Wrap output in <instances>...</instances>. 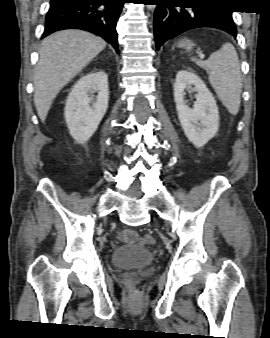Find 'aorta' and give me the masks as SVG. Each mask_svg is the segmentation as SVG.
I'll list each match as a JSON object with an SVG mask.
<instances>
[{
    "label": "aorta",
    "instance_id": "aorta-1",
    "mask_svg": "<svg viewBox=\"0 0 270 338\" xmlns=\"http://www.w3.org/2000/svg\"><path fill=\"white\" fill-rule=\"evenodd\" d=\"M154 7H155L154 5L149 6L150 9H152V8H154Z\"/></svg>",
    "mask_w": 270,
    "mask_h": 338
}]
</instances>
